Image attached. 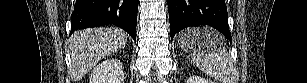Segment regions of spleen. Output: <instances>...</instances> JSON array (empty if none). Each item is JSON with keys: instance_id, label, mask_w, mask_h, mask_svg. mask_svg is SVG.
Listing matches in <instances>:
<instances>
[{"instance_id": "spleen-1", "label": "spleen", "mask_w": 307, "mask_h": 83, "mask_svg": "<svg viewBox=\"0 0 307 83\" xmlns=\"http://www.w3.org/2000/svg\"><path fill=\"white\" fill-rule=\"evenodd\" d=\"M192 29L196 30L197 47L190 52L196 67L223 83H232L235 74L233 61L223 46V36L209 28Z\"/></svg>"}]
</instances>
